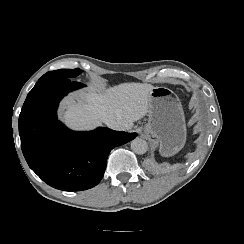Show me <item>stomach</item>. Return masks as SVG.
<instances>
[{
	"label": "stomach",
	"mask_w": 244,
	"mask_h": 244,
	"mask_svg": "<svg viewBox=\"0 0 244 244\" xmlns=\"http://www.w3.org/2000/svg\"><path fill=\"white\" fill-rule=\"evenodd\" d=\"M148 122L144 132L159 142L164 157L178 153L186 142V123L180 99L167 87H154L149 92Z\"/></svg>",
	"instance_id": "0dacf381"
}]
</instances>
